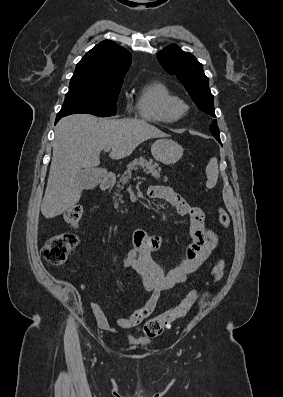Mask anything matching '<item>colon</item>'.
Wrapping results in <instances>:
<instances>
[{
	"instance_id": "obj_1",
	"label": "colon",
	"mask_w": 283,
	"mask_h": 397,
	"mask_svg": "<svg viewBox=\"0 0 283 397\" xmlns=\"http://www.w3.org/2000/svg\"><path fill=\"white\" fill-rule=\"evenodd\" d=\"M83 210L80 206L69 208L64 214V221L72 228H77L82 219ZM218 221L220 225L227 228L230 224V217L223 208L218 209ZM77 235L71 232H64L51 237L42 247V257L54 266L63 265L75 246L77 245ZM225 271V260L219 259L214 266L210 281L220 280ZM201 292L194 290L186 295L176 306L164 313L150 319L144 325L142 332L146 337L155 338L160 336L172 324L183 318L199 300Z\"/></svg>"
}]
</instances>
